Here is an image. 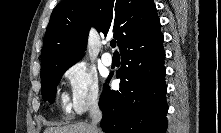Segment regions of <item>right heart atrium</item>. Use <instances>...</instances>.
I'll use <instances>...</instances> for the list:
<instances>
[{
  "label": "right heart atrium",
  "instance_id": "right-heart-atrium-1",
  "mask_svg": "<svg viewBox=\"0 0 221 133\" xmlns=\"http://www.w3.org/2000/svg\"><path fill=\"white\" fill-rule=\"evenodd\" d=\"M69 88L68 107L77 114L96 108L100 103L97 73L85 62L78 61L63 74Z\"/></svg>",
  "mask_w": 221,
  "mask_h": 133
}]
</instances>
